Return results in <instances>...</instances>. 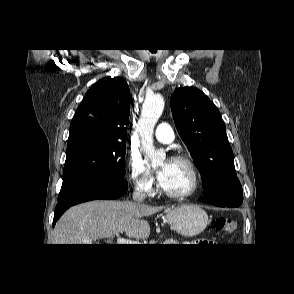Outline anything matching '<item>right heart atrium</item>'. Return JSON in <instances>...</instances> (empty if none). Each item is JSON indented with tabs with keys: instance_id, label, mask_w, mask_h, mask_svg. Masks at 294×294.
<instances>
[{
	"instance_id": "right-heart-atrium-1",
	"label": "right heart atrium",
	"mask_w": 294,
	"mask_h": 294,
	"mask_svg": "<svg viewBox=\"0 0 294 294\" xmlns=\"http://www.w3.org/2000/svg\"><path fill=\"white\" fill-rule=\"evenodd\" d=\"M129 180L138 192L149 194L154 185L152 175L146 170L143 161L137 155H131L128 161Z\"/></svg>"
}]
</instances>
